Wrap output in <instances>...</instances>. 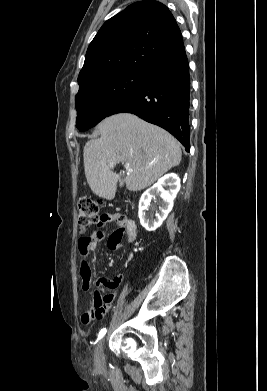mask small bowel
I'll return each instance as SVG.
<instances>
[{
	"label": "small bowel",
	"mask_w": 267,
	"mask_h": 391,
	"mask_svg": "<svg viewBox=\"0 0 267 391\" xmlns=\"http://www.w3.org/2000/svg\"><path fill=\"white\" fill-rule=\"evenodd\" d=\"M118 216L119 214H103L101 221L98 224L99 227H102L107 223H115L118 226V229L111 233L108 237L107 245L110 250H119L123 248V233L127 235V240L129 243H133L137 238L135 222L125 219L121 223L118 221ZM91 237L93 240V246H95V244L104 237V233L101 230H98L95 231ZM89 253H81L82 264L80 268V276L82 278V285L85 291L90 290L92 286H96L97 290H95L93 293L90 309L86 311L81 317L82 322L85 324L100 319L109 310L115 297V293L112 291L120 284L122 280V276L119 273L114 275L112 278L100 277L96 280H93L92 271L87 262ZM100 290H108L109 292L102 294Z\"/></svg>",
	"instance_id": "c3829d8e"
}]
</instances>
